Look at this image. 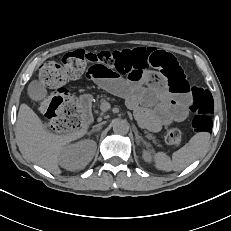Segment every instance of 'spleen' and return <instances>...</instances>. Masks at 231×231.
<instances>
[{
  "mask_svg": "<svg viewBox=\"0 0 231 231\" xmlns=\"http://www.w3.org/2000/svg\"><path fill=\"white\" fill-rule=\"evenodd\" d=\"M209 139L208 132L197 133L185 146L173 153L172 159L164 152L155 153L153 157L155 167L163 171H180L186 168L204 153Z\"/></svg>",
  "mask_w": 231,
  "mask_h": 231,
  "instance_id": "obj_1",
  "label": "spleen"
}]
</instances>
